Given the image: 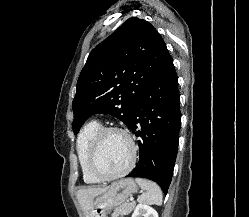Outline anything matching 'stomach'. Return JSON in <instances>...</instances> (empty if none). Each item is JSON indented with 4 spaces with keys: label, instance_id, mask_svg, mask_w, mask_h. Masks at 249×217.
<instances>
[{
    "label": "stomach",
    "instance_id": "0dacf381",
    "mask_svg": "<svg viewBox=\"0 0 249 217\" xmlns=\"http://www.w3.org/2000/svg\"><path fill=\"white\" fill-rule=\"evenodd\" d=\"M137 191L138 186L132 178H124L113 182L107 192L97 197L93 203L95 208L94 217H104L114 208L122 205Z\"/></svg>",
    "mask_w": 249,
    "mask_h": 217
}]
</instances>
